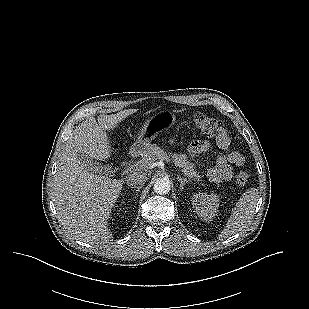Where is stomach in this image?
I'll use <instances>...</instances> for the list:
<instances>
[{
    "mask_svg": "<svg viewBox=\"0 0 309 309\" xmlns=\"http://www.w3.org/2000/svg\"><path fill=\"white\" fill-rule=\"evenodd\" d=\"M175 121L176 116L169 110H163L147 119L133 145L134 150L142 152L163 129L173 125Z\"/></svg>",
    "mask_w": 309,
    "mask_h": 309,
    "instance_id": "obj_1",
    "label": "stomach"
}]
</instances>
